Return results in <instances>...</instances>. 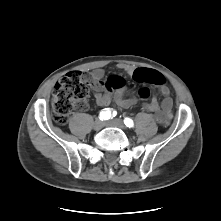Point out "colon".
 I'll list each match as a JSON object with an SVG mask.
<instances>
[{
  "instance_id": "colon-1",
  "label": "colon",
  "mask_w": 221,
  "mask_h": 221,
  "mask_svg": "<svg viewBox=\"0 0 221 221\" xmlns=\"http://www.w3.org/2000/svg\"><path fill=\"white\" fill-rule=\"evenodd\" d=\"M136 81H144L155 86H163L165 77L158 71L151 69H137L133 74ZM151 90L142 86L137 90L136 97L146 100ZM89 95V85L78 72H70L63 76L56 84L52 97L53 117L56 123L65 124L76 104Z\"/></svg>"
}]
</instances>
